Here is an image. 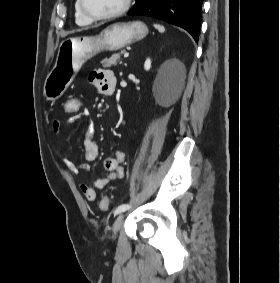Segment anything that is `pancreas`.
Returning a JSON list of instances; mask_svg holds the SVG:
<instances>
[{"label": "pancreas", "instance_id": "obj_1", "mask_svg": "<svg viewBox=\"0 0 280 283\" xmlns=\"http://www.w3.org/2000/svg\"><path fill=\"white\" fill-rule=\"evenodd\" d=\"M124 53V51H120L119 53L113 54L109 58H105L101 61L104 68H108L111 66H116L119 62L120 56Z\"/></svg>", "mask_w": 280, "mask_h": 283}]
</instances>
